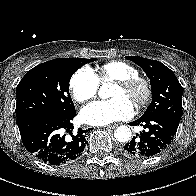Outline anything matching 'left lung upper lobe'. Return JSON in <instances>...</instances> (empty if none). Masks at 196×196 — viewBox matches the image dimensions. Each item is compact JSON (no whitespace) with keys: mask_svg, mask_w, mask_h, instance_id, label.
<instances>
[{"mask_svg":"<svg viewBox=\"0 0 196 196\" xmlns=\"http://www.w3.org/2000/svg\"><path fill=\"white\" fill-rule=\"evenodd\" d=\"M126 58L138 64L150 79L152 102L142 117L164 116L179 124L183 90L173 71L156 60L139 56Z\"/></svg>","mask_w":196,"mask_h":196,"instance_id":"1","label":"left lung upper lobe"}]
</instances>
